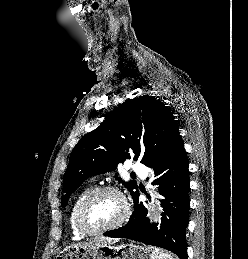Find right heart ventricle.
I'll use <instances>...</instances> for the list:
<instances>
[{"instance_id":"e07e8e85","label":"right heart ventricle","mask_w":248,"mask_h":259,"mask_svg":"<svg viewBox=\"0 0 248 259\" xmlns=\"http://www.w3.org/2000/svg\"><path fill=\"white\" fill-rule=\"evenodd\" d=\"M89 192V189H84L81 191L73 200V203L71 205L70 213H69V226L71 233L74 238L81 239L85 236L77 227L76 221H75V214L76 209L78 207V204L82 200V198Z\"/></svg>"}]
</instances>
